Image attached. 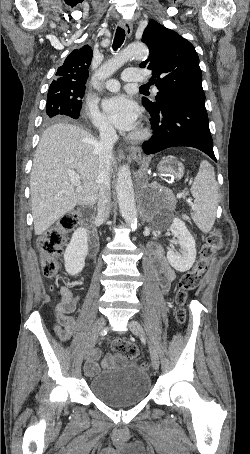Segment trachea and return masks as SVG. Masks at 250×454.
I'll use <instances>...</instances> for the list:
<instances>
[{"label": "trachea", "instance_id": "obj_1", "mask_svg": "<svg viewBox=\"0 0 250 454\" xmlns=\"http://www.w3.org/2000/svg\"><path fill=\"white\" fill-rule=\"evenodd\" d=\"M124 40H125V30L121 27H117L114 42L112 45L113 50L116 51L123 44ZM141 88L149 89V86L143 85V86H141Z\"/></svg>", "mask_w": 250, "mask_h": 454}]
</instances>
